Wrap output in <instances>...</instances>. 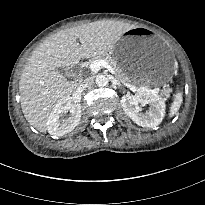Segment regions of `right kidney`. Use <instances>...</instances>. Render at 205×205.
<instances>
[{"mask_svg":"<svg viewBox=\"0 0 205 205\" xmlns=\"http://www.w3.org/2000/svg\"><path fill=\"white\" fill-rule=\"evenodd\" d=\"M70 112L69 117L65 114ZM81 118V104L72 103L70 97H65L59 101L47 120V130L49 134L63 136L71 132L79 123Z\"/></svg>","mask_w":205,"mask_h":205,"instance_id":"right-kidney-1","label":"right kidney"}]
</instances>
